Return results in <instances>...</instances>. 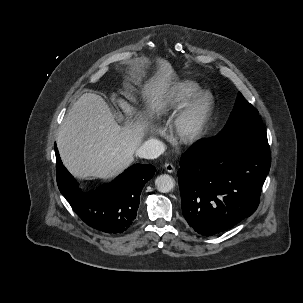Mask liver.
I'll return each instance as SVG.
<instances>
[{"label": "liver", "mask_w": 303, "mask_h": 303, "mask_svg": "<svg viewBox=\"0 0 303 303\" xmlns=\"http://www.w3.org/2000/svg\"><path fill=\"white\" fill-rule=\"evenodd\" d=\"M174 75L169 64L162 65L146 92L160 98ZM117 103L127 115L133 114L134 109L127 101L118 98ZM159 105L160 100L154 107ZM146 130L147 124L142 120L120 126L101 96L85 93L68 111L56 142L62 162L72 174L107 180L131 165Z\"/></svg>", "instance_id": "liver-1"}]
</instances>
